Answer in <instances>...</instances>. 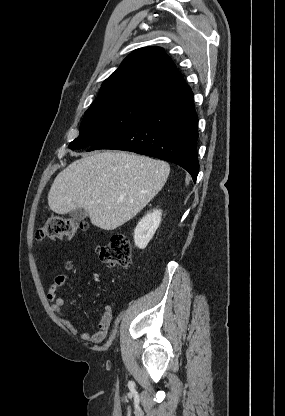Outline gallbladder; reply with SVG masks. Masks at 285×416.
<instances>
[{"label":"gallbladder","mask_w":285,"mask_h":416,"mask_svg":"<svg viewBox=\"0 0 285 416\" xmlns=\"http://www.w3.org/2000/svg\"><path fill=\"white\" fill-rule=\"evenodd\" d=\"M70 216L73 220H76V222H83L84 218H87L88 212L83 210V208H79V210H71Z\"/></svg>","instance_id":"1"}]
</instances>
